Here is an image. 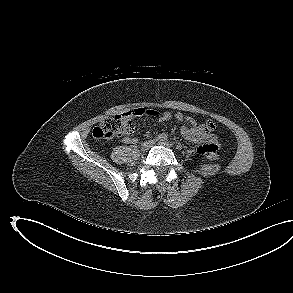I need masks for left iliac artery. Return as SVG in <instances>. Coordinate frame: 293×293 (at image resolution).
<instances>
[{"instance_id": "left-iliac-artery-1", "label": "left iliac artery", "mask_w": 293, "mask_h": 293, "mask_svg": "<svg viewBox=\"0 0 293 293\" xmlns=\"http://www.w3.org/2000/svg\"><path fill=\"white\" fill-rule=\"evenodd\" d=\"M176 148H177L178 150H181V149H182V145H181V144H178V145H176Z\"/></svg>"}]
</instances>
